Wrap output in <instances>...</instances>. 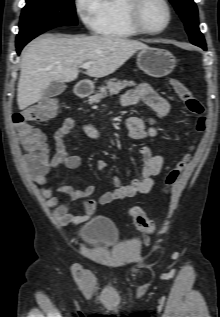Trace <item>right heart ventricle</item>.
I'll list each match as a JSON object with an SVG mask.
<instances>
[{"mask_svg":"<svg viewBox=\"0 0 220 317\" xmlns=\"http://www.w3.org/2000/svg\"><path fill=\"white\" fill-rule=\"evenodd\" d=\"M129 0H99L97 32L112 38H130L140 34L130 23Z\"/></svg>","mask_w":220,"mask_h":317,"instance_id":"1","label":"right heart ventricle"}]
</instances>
